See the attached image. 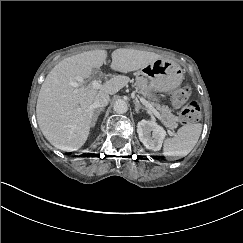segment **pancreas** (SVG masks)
<instances>
[{
  "label": "pancreas",
  "instance_id": "1",
  "mask_svg": "<svg viewBox=\"0 0 243 243\" xmlns=\"http://www.w3.org/2000/svg\"><path fill=\"white\" fill-rule=\"evenodd\" d=\"M144 101H150L149 99H144ZM156 109L160 110L162 116L164 117L165 124L168 128L174 129L178 127V117L175 116L168 106L155 105Z\"/></svg>",
  "mask_w": 243,
  "mask_h": 243
}]
</instances>
